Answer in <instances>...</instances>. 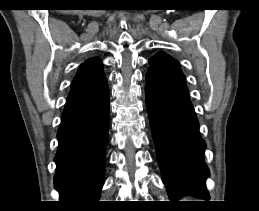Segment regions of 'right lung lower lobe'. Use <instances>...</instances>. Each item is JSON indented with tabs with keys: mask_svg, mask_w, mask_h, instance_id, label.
Masks as SVG:
<instances>
[{
	"mask_svg": "<svg viewBox=\"0 0 259 211\" xmlns=\"http://www.w3.org/2000/svg\"><path fill=\"white\" fill-rule=\"evenodd\" d=\"M109 126L107 81L93 92L67 100L58 129L55 188L61 202H93L104 183Z\"/></svg>",
	"mask_w": 259,
	"mask_h": 211,
	"instance_id": "1",
	"label": "right lung lower lobe"
}]
</instances>
